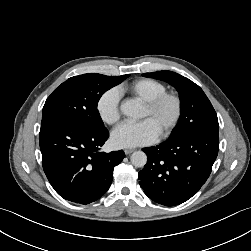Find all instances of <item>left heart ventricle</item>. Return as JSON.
Wrapping results in <instances>:
<instances>
[{"mask_svg":"<svg viewBox=\"0 0 251 251\" xmlns=\"http://www.w3.org/2000/svg\"><path fill=\"white\" fill-rule=\"evenodd\" d=\"M173 113V105L171 102L164 103L155 113H151L148 108L144 107L142 118L151 119L158 132H160Z\"/></svg>","mask_w":251,"mask_h":251,"instance_id":"1","label":"left heart ventricle"}]
</instances>
